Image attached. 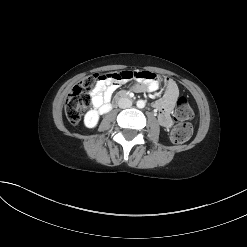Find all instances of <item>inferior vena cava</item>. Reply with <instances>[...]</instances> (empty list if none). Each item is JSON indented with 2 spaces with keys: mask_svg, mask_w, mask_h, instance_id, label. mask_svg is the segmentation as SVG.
I'll use <instances>...</instances> for the list:
<instances>
[{
  "mask_svg": "<svg viewBox=\"0 0 247 247\" xmlns=\"http://www.w3.org/2000/svg\"><path fill=\"white\" fill-rule=\"evenodd\" d=\"M118 106L120 108H123V109L124 108H129V107L132 106V101L129 98H127V97H122L118 101Z\"/></svg>",
  "mask_w": 247,
  "mask_h": 247,
  "instance_id": "inferior-vena-cava-1",
  "label": "inferior vena cava"
}]
</instances>
